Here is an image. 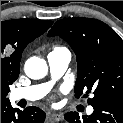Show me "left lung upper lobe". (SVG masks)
Here are the masks:
<instances>
[{"label": "left lung upper lobe", "mask_w": 123, "mask_h": 123, "mask_svg": "<svg viewBox=\"0 0 123 123\" xmlns=\"http://www.w3.org/2000/svg\"><path fill=\"white\" fill-rule=\"evenodd\" d=\"M60 36L76 54L75 96L93 91L88 104L108 100L123 103V40L105 23L89 18L61 19L48 36ZM87 97V95H84Z\"/></svg>", "instance_id": "5c2ea615"}]
</instances>
